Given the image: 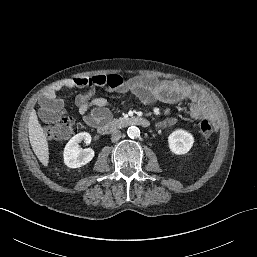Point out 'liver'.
<instances>
[{
  "label": "liver",
  "instance_id": "obj_1",
  "mask_svg": "<svg viewBox=\"0 0 257 257\" xmlns=\"http://www.w3.org/2000/svg\"><path fill=\"white\" fill-rule=\"evenodd\" d=\"M29 140L32 149L39 161L47 166L49 163V148L43 127L38 121L36 111L33 109L28 121Z\"/></svg>",
  "mask_w": 257,
  "mask_h": 257
}]
</instances>
